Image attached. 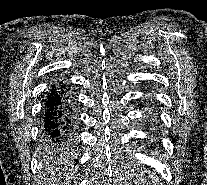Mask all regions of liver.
<instances>
[{
    "instance_id": "obj_1",
    "label": "liver",
    "mask_w": 207,
    "mask_h": 185,
    "mask_svg": "<svg viewBox=\"0 0 207 185\" xmlns=\"http://www.w3.org/2000/svg\"><path fill=\"white\" fill-rule=\"evenodd\" d=\"M47 165H44L43 169H46Z\"/></svg>"
}]
</instances>
